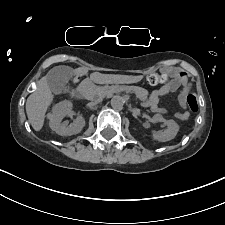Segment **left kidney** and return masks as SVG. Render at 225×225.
<instances>
[{"label": "left kidney", "mask_w": 225, "mask_h": 225, "mask_svg": "<svg viewBox=\"0 0 225 225\" xmlns=\"http://www.w3.org/2000/svg\"><path fill=\"white\" fill-rule=\"evenodd\" d=\"M154 122H163L167 125V129L161 132H154L153 139L161 142H166L175 138L179 131V125L174 120H165L161 114H155Z\"/></svg>", "instance_id": "obj_1"}]
</instances>
